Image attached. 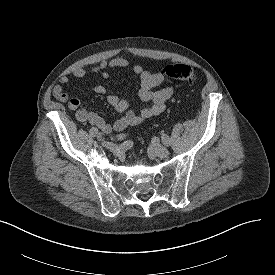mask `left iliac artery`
Returning a JSON list of instances; mask_svg holds the SVG:
<instances>
[{"label":"left iliac artery","mask_w":275,"mask_h":275,"mask_svg":"<svg viewBox=\"0 0 275 275\" xmlns=\"http://www.w3.org/2000/svg\"><path fill=\"white\" fill-rule=\"evenodd\" d=\"M161 138L164 145L166 146L170 145V138L166 134H163Z\"/></svg>","instance_id":"1"}]
</instances>
